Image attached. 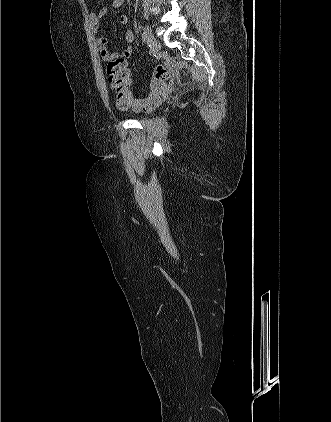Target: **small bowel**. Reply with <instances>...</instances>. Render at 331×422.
Wrapping results in <instances>:
<instances>
[{"instance_id":"small-bowel-1","label":"small bowel","mask_w":331,"mask_h":422,"mask_svg":"<svg viewBox=\"0 0 331 422\" xmlns=\"http://www.w3.org/2000/svg\"><path fill=\"white\" fill-rule=\"evenodd\" d=\"M125 0H113L112 1V7L113 8H119L124 4ZM107 9L103 8L99 12H91L89 14V21L90 24L97 34V43L99 46V52L101 55V58L105 62H110L116 59L123 60L126 64L128 59L130 58L133 48L131 46V43L134 41V33L132 30L127 29L124 33V40L127 43V46L125 49L121 52L112 53L108 50L107 44H108V38L105 36L99 35V28H100V22L101 18L107 13ZM120 22L123 25H126L128 22V17L126 15H122L120 17Z\"/></svg>"}]
</instances>
